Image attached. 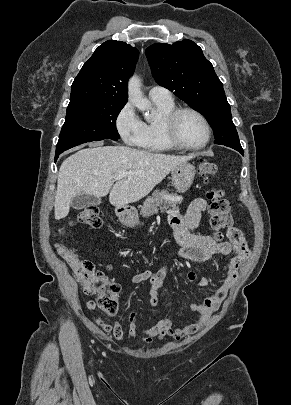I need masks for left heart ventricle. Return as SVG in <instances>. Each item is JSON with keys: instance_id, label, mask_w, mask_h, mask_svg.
<instances>
[{"instance_id": "b2bd125f", "label": "left heart ventricle", "mask_w": 291, "mask_h": 405, "mask_svg": "<svg viewBox=\"0 0 291 405\" xmlns=\"http://www.w3.org/2000/svg\"><path fill=\"white\" fill-rule=\"evenodd\" d=\"M178 133L180 139L190 146L203 144L207 137L203 122L192 113H184L180 117Z\"/></svg>"}]
</instances>
